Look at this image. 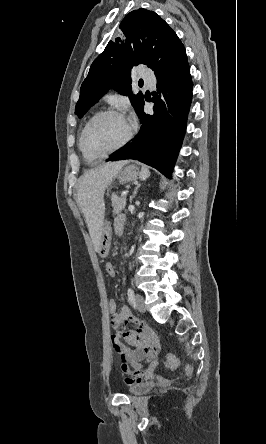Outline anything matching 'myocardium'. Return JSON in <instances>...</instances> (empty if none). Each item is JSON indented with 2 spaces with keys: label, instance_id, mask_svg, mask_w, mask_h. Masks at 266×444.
Returning a JSON list of instances; mask_svg holds the SVG:
<instances>
[{
  "label": "myocardium",
  "instance_id": "obj_1",
  "mask_svg": "<svg viewBox=\"0 0 266 444\" xmlns=\"http://www.w3.org/2000/svg\"><path fill=\"white\" fill-rule=\"evenodd\" d=\"M107 115H116V116H119V117H122L123 119H125L128 123L127 134L124 137V139L114 148L109 149L104 152H101V153H93L85 145V135L93 122H95L97 119H99L103 116H107ZM132 137H133V127H132L131 123L127 120V118L124 116V114L121 111L116 110V109H105V110H101V111L97 112L96 114H94L88 120V122L85 124V126L82 129V132L80 134L79 147H80L81 152L85 155H88L91 157H103V156L109 155L111 153H114V152L124 148L131 141Z\"/></svg>",
  "mask_w": 266,
  "mask_h": 444
}]
</instances>
